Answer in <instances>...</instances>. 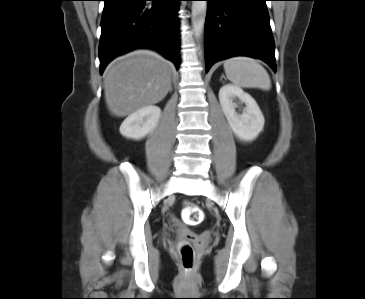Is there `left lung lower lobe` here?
<instances>
[{
    "label": "left lung lower lobe",
    "instance_id": "left-lung-lower-lobe-1",
    "mask_svg": "<svg viewBox=\"0 0 365 299\" xmlns=\"http://www.w3.org/2000/svg\"><path fill=\"white\" fill-rule=\"evenodd\" d=\"M206 1V72L214 63L238 55L262 59L276 71L267 0Z\"/></svg>",
    "mask_w": 365,
    "mask_h": 299
}]
</instances>
